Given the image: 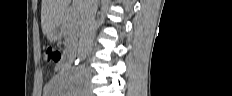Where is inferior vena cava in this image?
<instances>
[{"mask_svg": "<svg viewBox=\"0 0 232 96\" xmlns=\"http://www.w3.org/2000/svg\"><path fill=\"white\" fill-rule=\"evenodd\" d=\"M98 0L80 1V32L78 53L86 57L92 47L95 32L94 20L97 12Z\"/></svg>", "mask_w": 232, "mask_h": 96, "instance_id": "obj_1", "label": "inferior vena cava"}]
</instances>
